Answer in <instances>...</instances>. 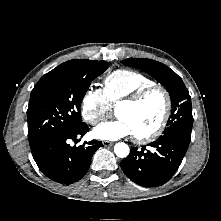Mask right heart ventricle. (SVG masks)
Instances as JSON below:
<instances>
[{
	"label": "right heart ventricle",
	"instance_id": "right-heart-ventricle-1",
	"mask_svg": "<svg viewBox=\"0 0 221 221\" xmlns=\"http://www.w3.org/2000/svg\"><path fill=\"white\" fill-rule=\"evenodd\" d=\"M153 84H155L153 80L140 72L118 69L103 79L102 91L110 106H114L122 99Z\"/></svg>",
	"mask_w": 221,
	"mask_h": 221
}]
</instances>
